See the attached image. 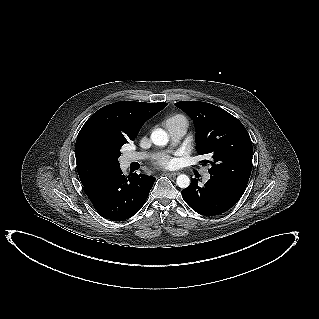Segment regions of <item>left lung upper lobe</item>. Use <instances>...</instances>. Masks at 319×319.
<instances>
[{
  "instance_id": "obj_1",
  "label": "left lung upper lobe",
  "mask_w": 319,
  "mask_h": 319,
  "mask_svg": "<svg viewBox=\"0 0 319 319\" xmlns=\"http://www.w3.org/2000/svg\"><path fill=\"white\" fill-rule=\"evenodd\" d=\"M186 112L196 129V150L208 154L212 175L226 177L247 186L252 170V142L244 125L227 111L205 102L175 104Z\"/></svg>"
}]
</instances>
